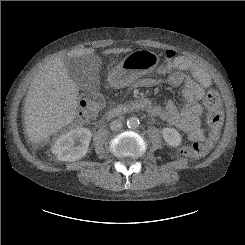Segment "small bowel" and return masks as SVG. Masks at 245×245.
Masks as SVG:
<instances>
[{
    "mask_svg": "<svg viewBox=\"0 0 245 245\" xmlns=\"http://www.w3.org/2000/svg\"><path fill=\"white\" fill-rule=\"evenodd\" d=\"M168 61L165 68V72L168 73L166 82L173 87L184 84L182 95L186 104L180 109L173 100H169L163 107L155 106L147 112L187 132L190 139H201L205 131L200 127L198 119L202 113L200 102L205 92L212 87L211 76L207 70L185 56H178ZM186 72L190 73L191 78L186 77ZM149 82H156V80H149ZM219 110L221 111L220 108Z\"/></svg>",
    "mask_w": 245,
    "mask_h": 245,
    "instance_id": "small-bowel-1",
    "label": "small bowel"
}]
</instances>
